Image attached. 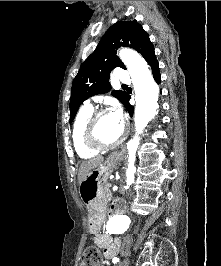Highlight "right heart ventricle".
Masks as SVG:
<instances>
[{"instance_id": "right-heart-ventricle-1", "label": "right heart ventricle", "mask_w": 221, "mask_h": 266, "mask_svg": "<svg viewBox=\"0 0 221 266\" xmlns=\"http://www.w3.org/2000/svg\"><path fill=\"white\" fill-rule=\"evenodd\" d=\"M93 112V107L83 106L76 115L72 130V140L76 153L84 159L92 158L98 150L89 148L84 142L85 124Z\"/></svg>"}]
</instances>
